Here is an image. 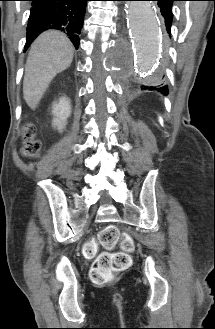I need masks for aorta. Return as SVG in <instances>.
Instances as JSON below:
<instances>
[{
	"label": "aorta",
	"mask_w": 215,
	"mask_h": 329,
	"mask_svg": "<svg viewBox=\"0 0 215 329\" xmlns=\"http://www.w3.org/2000/svg\"><path fill=\"white\" fill-rule=\"evenodd\" d=\"M127 27L143 72H152L162 49V26L158 10L151 1H127Z\"/></svg>",
	"instance_id": "obj_1"
}]
</instances>
